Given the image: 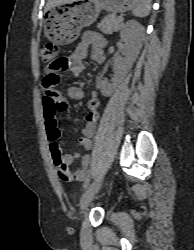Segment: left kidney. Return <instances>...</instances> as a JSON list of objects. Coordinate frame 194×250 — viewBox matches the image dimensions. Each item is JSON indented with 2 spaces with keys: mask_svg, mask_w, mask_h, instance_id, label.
<instances>
[{
  "mask_svg": "<svg viewBox=\"0 0 194 250\" xmlns=\"http://www.w3.org/2000/svg\"><path fill=\"white\" fill-rule=\"evenodd\" d=\"M144 34V27L136 20H129L123 26L120 38L125 43L126 59L122 72H119L120 77L125 76L136 61L142 48Z\"/></svg>",
  "mask_w": 194,
  "mask_h": 250,
  "instance_id": "1",
  "label": "left kidney"
}]
</instances>
